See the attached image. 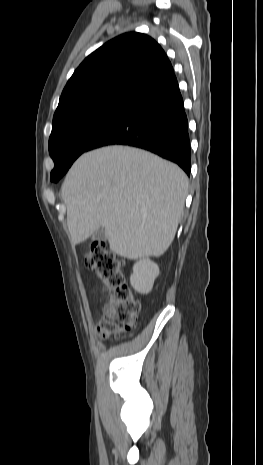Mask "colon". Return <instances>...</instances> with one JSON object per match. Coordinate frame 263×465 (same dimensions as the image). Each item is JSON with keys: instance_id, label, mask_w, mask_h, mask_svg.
I'll return each instance as SVG.
<instances>
[{"instance_id": "colon-1", "label": "colon", "mask_w": 263, "mask_h": 465, "mask_svg": "<svg viewBox=\"0 0 263 465\" xmlns=\"http://www.w3.org/2000/svg\"><path fill=\"white\" fill-rule=\"evenodd\" d=\"M85 266L100 279L105 304L98 333L107 338L116 333L131 331L137 324L140 304L126 283L122 262L102 241L89 244L84 256Z\"/></svg>"}]
</instances>
